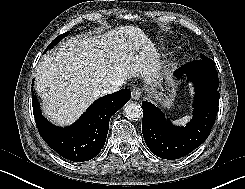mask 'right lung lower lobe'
Returning a JSON list of instances; mask_svg holds the SVG:
<instances>
[{
	"label": "right lung lower lobe",
	"mask_w": 245,
	"mask_h": 189,
	"mask_svg": "<svg viewBox=\"0 0 245 189\" xmlns=\"http://www.w3.org/2000/svg\"><path fill=\"white\" fill-rule=\"evenodd\" d=\"M130 97L129 89L103 96L94 101L74 124L65 128L56 127L45 119L34 93L32 105L39 133L50 148L65 159L83 162L99 154L106 141L110 117Z\"/></svg>",
	"instance_id": "98d812e1"
}]
</instances>
